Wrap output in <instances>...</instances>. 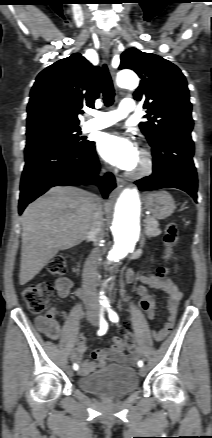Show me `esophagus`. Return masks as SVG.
Here are the masks:
<instances>
[{
	"mask_svg": "<svg viewBox=\"0 0 212 438\" xmlns=\"http://www.w3.org/2000/svg\"><path fill=\"white\" fill-rule=\"evenodd\" d=\"M110 47H111L110 42H103L102 43V49H103L105 57H107V58L109 57ZM116 182L119 185V187H123L125 185V181L120 177H116Z\"/></svg>",
	"mask_w": 212,
	"mask_h": 438,
	"instance_id": "obj_1",
	"label": "esophagus"
}]
</instances>
